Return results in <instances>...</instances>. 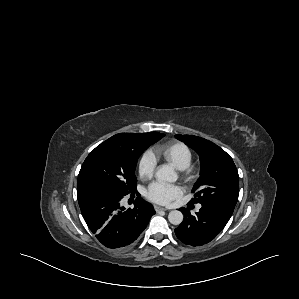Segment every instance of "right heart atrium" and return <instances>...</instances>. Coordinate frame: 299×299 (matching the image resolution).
I'll use <instances>...</instances> for the list:
<instances>
[{"mask_svg":"<svg viewBox=\"0 0 299 299\" xmlns=\"http://www.w3.org/2000/svg\"><path fill=\"white\" fill-rule=\"evenodd\" d=\"M156 158L152 152H144L138 162V174L141 179L148 180L151 179L156 170Z\"/></svg>","mask_w":299,"mask_h":299,"instance_id":"right-heart-atrium-1","label":"right heart atrium"}]
</instances>
